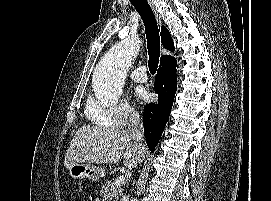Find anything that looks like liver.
I'll return each instance as SVG.
<instances>
[{
    "mask_svg": "<svg viewBox=\"0 0 271 201\" xmlns=\"http://www.w3.org/2000/svg\"><path fill=\"white\" fill-rule=\"evenodd\" d=\"M144 149L120 127L83 126L72 139L64 160L67 169L76 163H123L134 168L144 158Z\"/></svg>",
    "mask_w": 271,
    "mask_h": 201,
    "instance_id": "obj_1",
    "label": "liver"
}]
</instances>
